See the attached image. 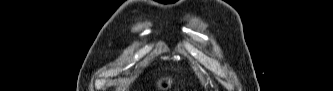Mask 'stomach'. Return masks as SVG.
<instances>
[{
    "mask_svg": "<svg viewBox=\"0 0 333 91\" xmlns=\"http://www.w3.org/2000/svg\"><path fill=\"white\" fill-rule=\"evenodd\" d=\"M173 84L174 79L172 77L162 76L156 81L155 87L158 91H168Z\"/></svg>",
    "mask_w": 333,
    "mask_h": 91,
    "instance_id": "1",
    "label": "stomach"
}]
</instances>
